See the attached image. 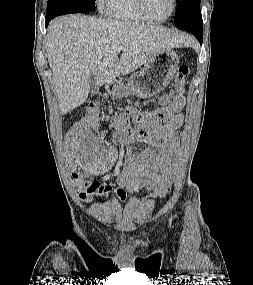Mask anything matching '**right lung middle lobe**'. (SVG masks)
Wrapping results in <instances>:
<instances>
[{"label": "right lung middle lobe", "instance_id": "dd1d6c3e", "mask_svg": "<svg viewBox=\"0 0 253 285\" xmlns=\"http://www.w3.org/2000/svg\"><path fill=\"white\" fill-rule=\"evenodd\" d=\"M95 8V0H48L46 16L88 12Z\"/></svg>", "mask_w": 253, "mask_h": 285}]
</instances>
